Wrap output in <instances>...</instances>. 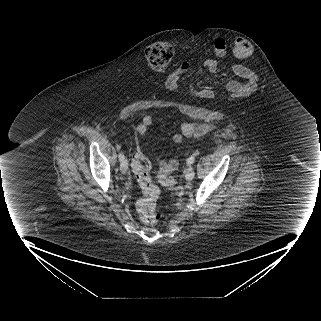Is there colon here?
Wrapping results in <instances>:
<instances>
[{
    "instance_id": "1",
    "label": "colon",
    "mask_w": 321,
    "mask_h": 321,
    "mask_svg": "<svg viewBox=\"0 0 321 321\" xmlns=\"http://www.w3.org/2000/svg\"><path fill=\"white\" fill-rule=\"evenodd\" d=\"M176 50L172 42L160 41L146 49L145 58L153 70L163 71L170 64ZM233 51L236 56L244 58L251 54L252 45L245 38H235ZM132 169L142 191V196L136 202L138 216L144 224L153 225L160 219V214L157 212L159 189L152 182L149 160L139 150L133 156ZM160 182L164 187L172 188L176 180L173 177L160 176Z\"/></svg>"
}]
</instances>
